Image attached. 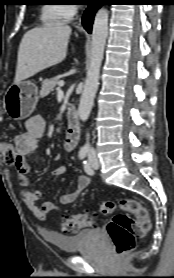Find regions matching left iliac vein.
<instances>
[{"label":"left iliac vein","instance_id":"obj_1","mask_svg":"<svg viewBox=\"0 0 174 278\" xmlns=\"http://www.w3.org/2000/svg\"><path fill=\"white\" fill-rule=\"evenodd\" d=\"M90 162H91V166H92L94 169H98V168H99L100 163H99L98 158H97L95 155H92V156H91Z\"/></svg>","mask_w":174,"mask_h":278}]
</instances>
